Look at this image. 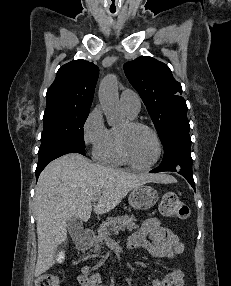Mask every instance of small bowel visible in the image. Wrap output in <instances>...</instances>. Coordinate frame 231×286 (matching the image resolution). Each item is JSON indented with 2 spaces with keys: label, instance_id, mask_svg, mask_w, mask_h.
I'll use <instances>...</instances> for the list:
<instances>
[{
  "label": "small bowel",
  "instance_id": "small-bowel-1",
  "mask_svg": "<svg viewBox=\"0 0 231 286\" xmlns=\"http://www.w3.org/2000/svg\"><path fill=\"white\" fill-rule=\"evenodd\" d=\"M148 238L150 240H148ZM127 248L143 249L157 259H175L182 254L184 245L179 237L158 218L145 220L128 240ZM80 286H101V277L89 267L78 277ZM152 286H184L183 271L176 267L162 278H154ZM148 286V285H145Z\"/></svg>",
  "mask_w": 231,
  "mask_h": 286
}]
</instances>
